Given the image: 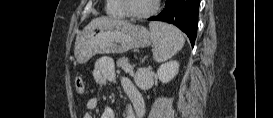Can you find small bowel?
<instances>
[{"label":"small bowel","mask_w":273,"mask_h":118,"mask_svg":"<svg viewBox=\"0 0 273 118\" xmlns=\"http://www.w3.org/2000/svg\"><path fill=\"white\" fill-rule=\"evenodd\" d=\"M93 79L98 85H104L106 82H118L124 93L129 99V104L126 107L125 118H142L144 115L143 98L127 77H118L113 60L110 57H99L96 59L92 71ZM98 107V99L92 97L87 100L86 108L88 111H93ZM84 118H93L90 112L84 115ZM102 118H115V112L111 107H106L103 110Z\"/></svg>","instance_id":"1"}]
</instances>
